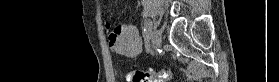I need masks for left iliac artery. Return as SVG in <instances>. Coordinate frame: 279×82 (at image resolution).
<instances>
[{"mask_svg": "<svg viewBox=\"0 0 279 82\" xmlns=\"http://www.w3.org/2000/svg\"><path fill=\"white\" fill-rule=\"evenodd\" d=\"M151 21L145 20L144 27H143V37L145 42V48L148 49L149 40L151 37Z\"/></svg>", "mask_w": 279, "mask_h": 82, "instance_id": "left-iliac-artery-1", "label": "left iliac artery"}]
</instances>
